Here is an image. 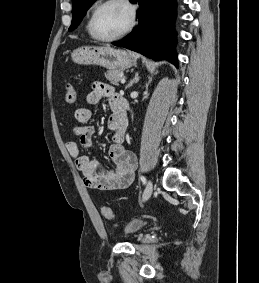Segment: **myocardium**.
Here are the masks:
<instances>
[{"label": "myocardium", "mask_w": 259, "mask_h": 283, "mask_svg": "<svg viewBox=\"0 0 259 283\" xmlns=\"http://www.w3.org/2000/svg\"><path fill=\"white\" fill-rule=\"evenodd\" d=\"M114 2L122 3L123 5L126 6V8L129 11V23L122 32H120L119 34H117L113 37H108V38L100 37L96 34L95 29H94V23H95L96 15L102 7L106 6L107 4L114 3ZM136 20H137L136 7L130 0H102L93 9V11L91 13V16H90V19H89V24H88V29H89L90 35L94 39H96L97 41L112 42V41L118 40V39L126 36L128 33H130L136 25Z\"/></svg>", "instance_id": "myocardium-1"}]
</instances>
